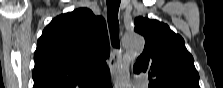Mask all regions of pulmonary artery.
Segmentation results:
<instances>
[{"label":"pulmonary artery","mask_w":223,"mask_h":88,"mask_svg":"<svg viewBox=\"0 0 223 88\" xmlns=\"http://www.w3.org/2000/svg\"><path fill=\"white\" fill-rule=\"evenodd\" d=\"M133 83L138 88H145L146 87V81L144 76L142 75H135L133 79Z\"/></svg>","instance_id":"1"}]
</instances>
